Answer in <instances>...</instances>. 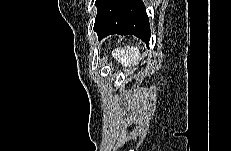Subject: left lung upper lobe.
<instances>
[{
	"instance_id": "5c2ea615",
	"label": "left lung upper lobe",
	"mask_w": 231,
	"mask_h": 151,
	"mask_svg": "<svg viewBox=\"0 0 231 151\" xmlns=\"http://www.w3.org/2000/svg\"><path fill=\"white\" fill-rule=\"evenodd\" d=\"M109 1L110 0H96L95 4L97 6V15H96V19H95L94 28L97 26V24L101 20L103 14H104L105 8H106Z\"/></svg>"
}]
</instances>
